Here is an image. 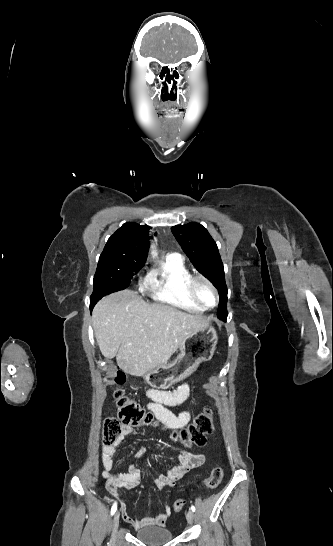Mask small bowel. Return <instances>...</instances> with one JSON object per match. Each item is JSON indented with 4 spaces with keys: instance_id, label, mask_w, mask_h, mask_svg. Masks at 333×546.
<instances>
[{
    "instance_id": "obj_1",
    "label": "small bowel",
    "mask_w": 333,
    "mask_h": 546,
    "mask_svg": "<svg viewBox=\"0 0 333 546\" xmlns=\"http://www.w3.org/2000/svg\"><path fill=\"white\" fill-rule=\"evenodd\" d=\"M190 385L184 383L178 389L168 392L157 389H149L146 391V397L149 399L148 409L153 415L164 425L172 429L184 428L191 419V411L189 409L175 414L169 407L179 406L185 403L190 396ZM134 429L130 426L123 425L121 434L118 440L112 445H105L101 450V462L103 470L102 477L106 481L107 490L114 496L118 497L120 488L133 489L143 484L142 474L136 465H132L127 472H116L114 457L118 446L131 434ZM148 454V450L140 448L136 453V458L141 459ZM178 465L168 468L164 473L160 474L153 481V485L157 489L173 487L179 482L191 469L201 466L205 461V456L202 453L181 452L177 455ZM122 517L125 522L133 525L135 529H141L148 526H163L168 517L171 515V508L165 504V512L157 514L154 517L133 518L127 510L126 506L121 505Z\"/></svg>"
}]
</instances>
